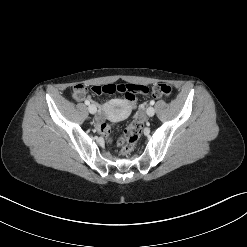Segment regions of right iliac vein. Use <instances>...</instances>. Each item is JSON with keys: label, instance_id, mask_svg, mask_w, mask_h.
Returning <instances> with one entry per match:
<instances>
[{"label": "right iliac vein", "instance_id": "1", "mask_svg": "<svg viewBox=\"0 0 247 247\" xmlns=\"http://www.w3.org/2000/svg\"><path fill=\"white\" fill-rule=\"evenodd\" d=\"M88 110H89V112H90L91 114H95L96 111H97V108H96V106H95L94 104H90V105L88 106Z\"/></svg>", "mask_w": 247, "mask_h": 247}]
</instances>
